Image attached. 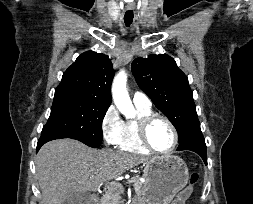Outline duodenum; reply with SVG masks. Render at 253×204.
Instances as JSON below:
<instances>
[{
	"label": "duodenum",
	"instance_id": "410a0bca",
	"mask_svg": "<svg viewBox=\"0 0 253 204\" xmlns=\"http://www.w3.org/2000/svg\"><path fill=\"white\" fill-rule=\"evenodd\" d=\"M87 204H98V196L96 194L92 195Z\"/></svg>",
	"mask_w": 253,
	"mask_h": 204
}]
</instances>
